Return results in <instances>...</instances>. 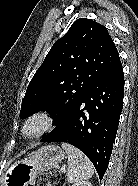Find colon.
Listing matches in <instances>:
<instances>
[{"instance_id": "1", "label": "colon", "mask_w": 138, "mask_h": 186, "mask_svg": "<svg viewBox=\"0 0 138 186\" xmlns=\"http://www.w3.org/2000/svg\"><path fill=\"white\" fill-rule=\"evenodd\" d=\"M35 186H65V178L56 171L41 174Z\"/></svg>"}]
</instances>
